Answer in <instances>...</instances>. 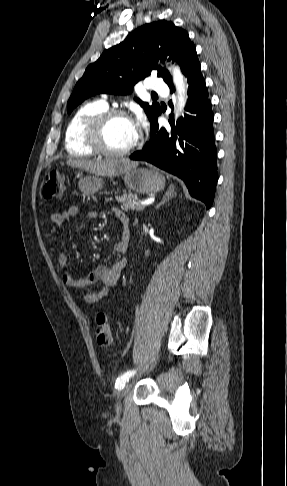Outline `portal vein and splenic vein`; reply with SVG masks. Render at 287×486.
<instances>
[{"instance_id": "18ae733b", "label": "portal vein and splenic vein", "mask_w": 287, "mask_h": 486, "mask_svg": "<svg viewBox=\"0 0 287 486\" xmlns=\"http://www.w3.org/2000/svg\"><path fill=\"white\" fill-rule=\"evenodd\" d=\"M137 204L140 205V206H142V207H145L149 203L148 202H145V201H139V202H137Z\"/></svg>"}]
</instances>
